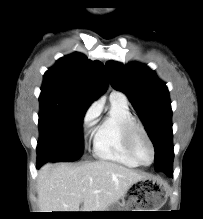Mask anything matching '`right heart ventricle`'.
I'll return each instance as SVG.
<instances>
[{
    "instance_id": "1",
    "label": "right heart ventricle",
    "mask_w": 203,
    "mask_h": 219,
    "mask_svg": "<svg viewBox=\"0 0 203 219\" xmlns=\"http://www.w3.org/2000/svg\"><path fill=\"white\" fill-rule=\"evenodd\" d=\"M133 120L135 118L127 104L111 100V109L94 136L95 157L127 167H139L140 164L128 152L124 139L125 126Z\"/></svg>"
}]
</instances>
